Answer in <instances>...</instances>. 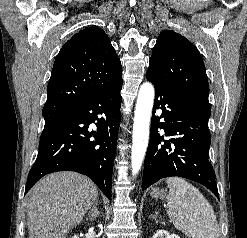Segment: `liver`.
Here are the masks:
<instances>
[{
    "mask_svg": "<svg viewBox=\"0 0 247 238\" xmlns=\"http://www.w3.org/2000/svg\"><path fill=\"white\" fill-rule=\"evenodd\" d=\"M97 199L98 189L86 176L72 171L47 175L29 193V238H66Z\"/></svg>",
    "mask_w": 247,
    "mask_h": 238,
    "instance_id": "obj_1",
    "label": "liver"
}]
</instances>
